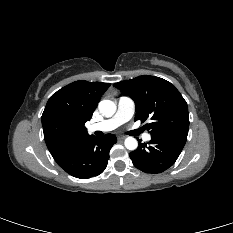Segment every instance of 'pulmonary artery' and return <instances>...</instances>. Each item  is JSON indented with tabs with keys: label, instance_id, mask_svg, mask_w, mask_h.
<instances>
[{
	"label": "pulmonary artery",
	"instance_id": "1",
	"mask_svg": "<svg viewBox=\"0 0 233 233\" xmlns=\"http://www.w3.org/2000/svg\"><path fill=\"white\" fill-rule=\"evenodd\" d=\"M118 107L117 112L110 119L103 120L98 123H94L89 126V131H101L108 132L116 129L121 124L130 120L134 114L135 105L131 98L127 96H122L118 99ZM143 139L145 141H149L151 139V135L146 133L143 135Z\"/></svg>",
	"mask_w": 233,
	"mask_h": 233
}]
</instances>
